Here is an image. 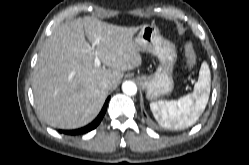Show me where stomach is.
I'll use <instances>...</instances> for the list:
<instances>
[{
	"label": "stomach",
	"instance_id": "obj_1",
	"mask_svg": "<svg viewBox=\"0 0 249 165\" xmlns=\"http://www.w3.org/2000/svg\"><path fill=\"white\" fill-rule=\"evenodd\" d=\"M133 41L139 51L152 53L160 62L152 76H138L139 82L146 91L147 99L156 100L170 94L174 88L172 72L177 60L175 45L166 40L156 26L149 24L141 26Z\"/></svg>",
	"mask_w": 249,
	"mask_h": 165
}]
</instances>
